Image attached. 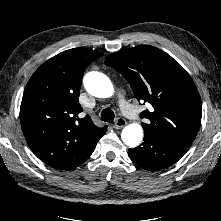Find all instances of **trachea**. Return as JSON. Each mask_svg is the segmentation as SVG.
<instances>
[{
	"mask_svg": "<svg viewBox=\"0 0 221 221\" xmlns=\"http://www.w3.org/2000/svg\"><path fill=\"white\" fill-rule=\"evenodd\" d=\"M114 117L115 114L111 109H103L101 112V119L105 122H113Z\"/></svg>",
	"mask_w": 221,
	"mask_h": 221,
	"instance_id": "3493384b",
	"label": "trachea"
}]
</instances>
